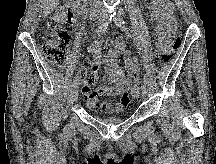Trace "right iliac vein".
I'll return each mask as SVG.
<instances>
[{
    "label": "right iliac vein",
    "mask_w": 216,
    "mask_h": 164,
    "mask_svg": "<svg viewBox=\"0 0 216 164\" xmlns=\"http://www.w3.org/2000/svg\"><path fill=\"white\" fill-rule=\"evenodd\" d=\"M99 21L102 22L103 20H99ZM72 99H73V102H77V100H78V87H77V85L73 86Z\"/></svg>",
    "instance_id": "1"
}]
</instances>
